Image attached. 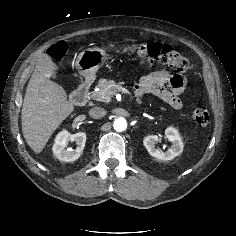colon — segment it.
Instances as JSON below:
<instances>
[{
    "mask_svg": "<svg viewBox=\"0 0 236 236\" xmlns=\"http://www.w3.org/2000/svg\"><path fill=\"white\" fill-rule=\"evenodd\" d=\"M129 51L134 52L140 62L145 65L160 63L173 67L180 73H185L192 67L188 58L167 44L150 42L130 48ZM65 53L66 46L64 44H56L49 50L51 57L56 60H60ZM191 116L195 123L200 126H206L210 120L209 111L203 105L191 106Z\"/></svg>",
    "mask_w": 236,
    "mask_h": 236,
    "instance_id": "5ec220e1",
    "label": "colon"
}]
</instances>
